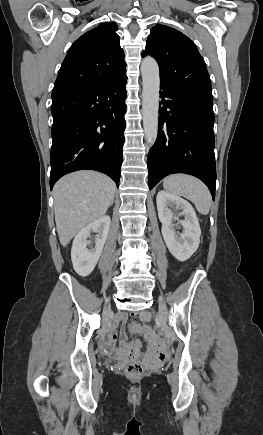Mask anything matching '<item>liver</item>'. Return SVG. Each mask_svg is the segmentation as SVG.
Wrapping results in <instances>:
<instances>
[{
	"instance_id": "1",
	"label": "liver",
	"mask_w": 263,
	"mask_h": 435,
	"mask_svg": "<svg viewBox=\"0 0 263 435\" xmlns=\"http://www.w3.org/2000/svg\"><path fill=\"white\" fill-rule=\"evenodd\" d=\"M115 188L109 177L89 170L68 174L55 184V222L64 247L82 228L105 215Z\"/></svg>"
}]
</instances>
